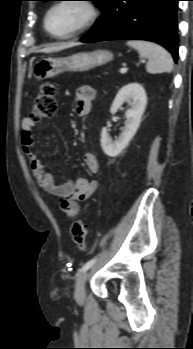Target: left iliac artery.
Listing matches in <instances>:
<instances>
[{"instance_id":"left-iliac-artery-1","label":"left iliac artery","mask_w":193,"mask_h":349,"mask_svg":"<svg viewBox=\"0 0 193 349\" xmlns=\"http://www.w3.org/2000/svg\"><path fill=\"white\" fill-rule=\"evenodd\" d=\"M97 257H94L93 259L86 262L83 267L81 268V271H87L91 266L96 262Z\"/></svg>"}]
</instances>
